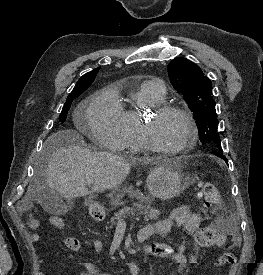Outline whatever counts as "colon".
<instances>
[{
  "label": "colon",
  "instance_id": "1",
  "mask_svg": "<svg viewBox=\"0 0 263 275\" xmlns=\"http://www.w3.org/2000/svg\"><path fill=\"white\" fill-rule=\"evenodd\" d=\"M198 196L201 197L209 207H217L222 203V198L217 187L211 182H199L197 184ZM54 224L60 222L59 217H54ZM199 242L205 247H226V237L224 233L214 226H207L201 229ZM235 263V256L227 251L223 253L216 262L219 267L232 265Z\"/></svg>",
  "mask_w": 263,
  "mask_h": 275
}]
</instances>
